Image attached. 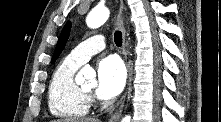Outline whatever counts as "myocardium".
<instances>
[{
  "label": "myocardium",
  "instance_id": "f54148a6",
  "mask_svg": "<svg viewBox=\"0 0 221 122\" xmlns=\"http://www.w3.org/2000/svg\"><path fill=\"white\" fill-rule=\"evenodd\" d=\"M80 90L82 92V94L84 95V97L90 102L93 100V95L91 92L86 91L83 87H80Z\"/></svg>",
  "mask_w": 221,
  "mask_h": 122
}]
</instances>
